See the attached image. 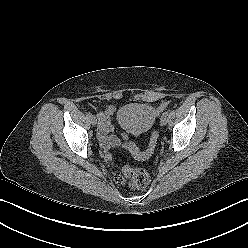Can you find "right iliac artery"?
I'll use <instances>...</instances> for the list:
<instances>
[{
    "mask_svg": "<svg viewBox=\"0 0 248 248\" xmlns=\"http://www.w3.org/2000/svg\"><path fill=\"white\" fill-rule=\"evenodd\" d=\"M92 114L90 112L87 113V117L91 118Z\"/></svg>",
    "mask_w": 248,
    "mask_h": 248,
    "instance_id": "obj_1",
    "label": "right iliac artery"
}]
</instances>
